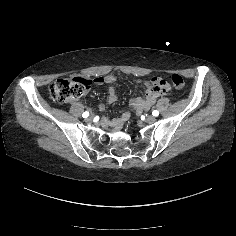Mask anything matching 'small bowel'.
Wrapping results in <instances>:
<instances>
[{
  "mask_svg": "<svg viewBox=\"0 0 236 236\" xmlns=\"http://www.w3.org/2000/svg\"><path fill=\"white\" fill-rule=\"evenodd\" d=\"M97 82H106V83H112L114 81V78L112 76H106L104 78H98L96 79ZM155 82L162 83L161 79H155ZM117 99L116 92L113 88L109 90V100L110 102H114ZM153 103L152 99H148L145 101L144 104L141 105V108H147Z\"/></svg>",
  "mask_w": 236,
  "mask_h": 236,
  "instance_id": "c3829d8e",
  "label": "small bowel"
}]
</instances>
